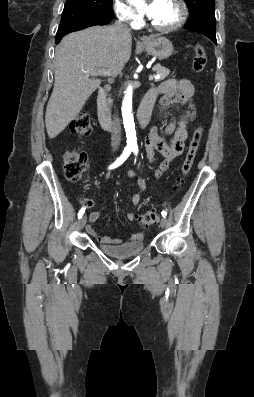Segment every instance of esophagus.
<instances>
[{"instance_id": "obj_1", "label": "esophagus", "mask_w": 254, "mask_h": 397, "mask_svg": "<svg viewBox=\"0 0 254 397\" xmlns=\"http://www.w3.org/2000/svg\"><path fill=\"white\" fill-rule=\"evenodd\" d=\"M140 40H141L142 42H146V41H148V37H147V36H141V37H140Z\"/></svg>"}]
</instances>
